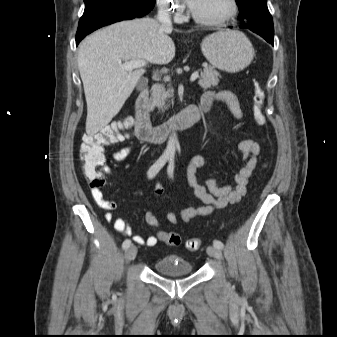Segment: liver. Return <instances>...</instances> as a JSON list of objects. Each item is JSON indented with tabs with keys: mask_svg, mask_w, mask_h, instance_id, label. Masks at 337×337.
I'll list each match as a JSON object with an SVG mask.
<instances>
[{
	"mask_svg": "<svg viewBox=\"0 0 337 337\" xmlns=\"http://www.w3.org/2000/svg\"><path fill=\"white\" fill-rule=\"evenodd\" d=\"M171 31L145 17L115 23L82 41L78 68L87 102L88 135L110 123L145 73L142 67L134 71L122 68L123 61L168 64L174 58L175 45L168 36Z\"/></svg>",
	"mask_w": 337,
	"mask_h": 337,
	"instance_id": "1",
	"label": "liver"
}]
</instances>
